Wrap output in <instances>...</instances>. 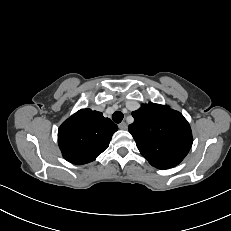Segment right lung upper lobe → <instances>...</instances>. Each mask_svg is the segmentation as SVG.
Here are the masks:
<instances>
[{"instance_id": "obj_1", "label": "right lung upper lobe", "mask_w": 231, "mask_h": 231, "mask_svg": "<svg viewBox=\"0 0 231 231\" xmlns=\"http://www.w3.org/2000/svg\"><path fill=\"white\" fill-rule=\"evenodd\" d=\"M118 129L109 118L91 109H81L68 118L58 130L63 157L77 165L92 162L105 151Z\"/></svg>"}]
</instances>
